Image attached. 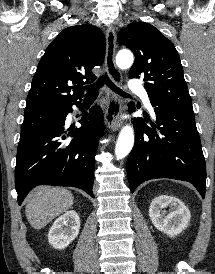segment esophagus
<instances>
[{"instance_id":"esophagus-1","label":"esophagus","mask_w":215,"mask_h":274,"mask_svg":"<svg viewBox=\"0 0 215 274\" xmlns=\"http://www.w3.org/2000/svg\"><path fill=\"white\" fill-rule=\"evenodd\" d=\"M116 35L114 29L109 27L106 31V59L105 66L111 80L116 84L122 83L120 71L115 64ZM106 110L105 123L113 131L121 127V115L123 113L122 100L109 88L105 89Z\"/></svg>"}]
</instances>
